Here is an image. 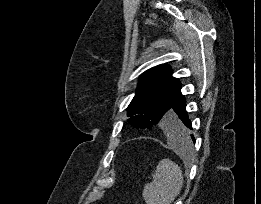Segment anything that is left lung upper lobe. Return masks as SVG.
<instances>
[{
    "mask_svg": "<svg viewBox=\"0 0 261 204\" xmlns=\"http://www.w3.org/2000/svg\"><path fill=\"white\" fill-rule=\"evenodd\" d=\"M181 84L172 77L167 65H159L144 72L134 98L128 106V122L135 128H148L163 122L169 115Z\"/></svg>",
    "mask_w": 261,
    "mask_h": 204,
    "instance_id": "left-lung-upper-lobe-1",
    "label": "left lung upper lobe"
}]
</instances>
